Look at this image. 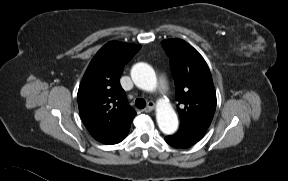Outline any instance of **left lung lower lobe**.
Here are the masks:
<instances>
[{
	"mask_svg": "<svg viewBox=\"0 0 288 181\" xmlns=\"http://www.w3.org/2000/svg\"><path fill=\"white\" fill-rule=\"evenodd\" d=\"M205 131L179 130L174 135L165 137V141L175 148H188L198 142Z\"/></svg>",
	"mask_w": 288,
	"mask_h": 181,
	"instance_id": "obj_1",
	"label": "left lung lower lobe"
}]
</instances>
